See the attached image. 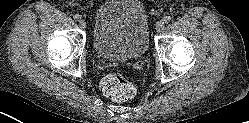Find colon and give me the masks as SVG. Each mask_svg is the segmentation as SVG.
I'll return each instance as SVG.
<instances>
[{
	"instance_id": "colon-1",
	"label": "colon",
	"mask_w": 249,
	"mask_h": 123,
	"mask_svg": "<svg viewBox=\"0 0 249 123\" xmlns=\"http://www.w3.org/2000/svg\"><path fill=\"white\" fill-rule=\"evenodd\" d=\"M102 94L114 101H128L135 96L136 88L126 76L107 75L100 82Z\"/></svg>"
}]
</instances>
